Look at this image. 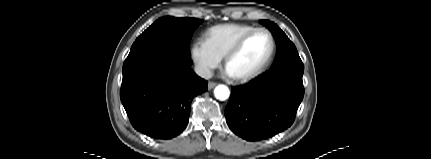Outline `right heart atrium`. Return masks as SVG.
I'll use <instances>...</instances> for the list:
<instances>
[{
    "label": "right heart atrium",
    "mask_w": 431,
    "mask_h": 159,
    "mask_svg": "<svg viewBox=\"0 0 431 159\" xmlns=\"http://www.w3.org/2000/svg\"><path fill=\"white\" fill-rule=\"evenodd\" d=\"M190 56L198 73L208 78L219 67L222 58L211 48L204 39H196L190 45Z\"/></svg>",
    "instance_id": "1"
}]
</instances>
